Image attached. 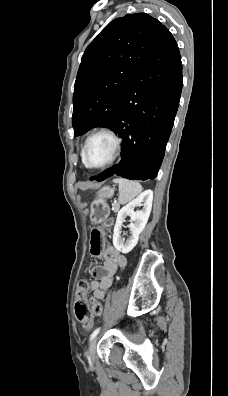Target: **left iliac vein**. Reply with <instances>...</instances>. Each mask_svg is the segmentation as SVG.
Masks as SVG:
<instances>
[{"label":"left iliac vein","instance_id":"left-iliac-vein-1","mask_svg":"<svg viewBox=\"0 0 228 396\" xmlns=\"http://www.w3.org/2000/svg\"><path fill=\"white\" fill-rule=\"evenodd\" d=\"M97 337L94 338L89 346L88 360L90 363H94L96 355Z\"/></svg>","mask_w":228,"mask_h":396}]
</instances>
